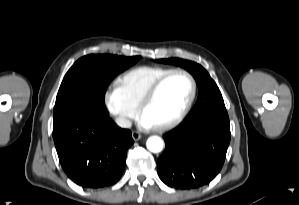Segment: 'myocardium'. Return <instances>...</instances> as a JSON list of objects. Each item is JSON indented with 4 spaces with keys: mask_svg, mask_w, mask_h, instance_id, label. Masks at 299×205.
Returning a JSON list of instances; mask_svg holds the SVG:
<instances>
[{
    "mask_svg": "<svg viewBox=\"0 0 299 205\" xmlns=\"http://www.w3.org/2000/svg\"><path fill=\"white\" fill-rule=\"evenodd\" d=\"M176 74H184L186 75L190 82H191V93L189 96L188 101L186 102L185 106L183 109L171 120L162 123L157 126H153L156 131H165L168 129H171L178 125L189 113L194 100L196 98L197 94V82L194 76L187 70L185 69H173L169 71L168 73L164 74L161 76L158 80H156L153 85L148 89V91L145 93L143 96L139 106H138V112L141 116H143L144 111L146 108L152 103L154 98L156 97L157 93L159 92L160 88L163 86V84L173 75Z\"/></svg>",
    "mask_w": 299,
    "mask_h": 205,
    "instance_id": "obj_1",
    "label": "myocardium"
}]
</instances>
